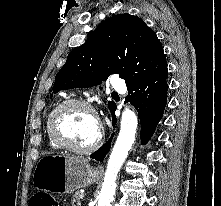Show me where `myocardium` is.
<instances>
[{"label": "myocardium", "mask_w": 221, "mask_h": 206, "mask_svg": "<svg viewBox=\"0 0 221 206\" xmlns=\"http://www.w3.org/2000/svg\"><path fill=\"white\" fill-rule=\"evenodd\" d=\"M71 106H80L88 109L92 112V114L95 116L98 122V134L94 142L87 146V147H75L71 143H69L67 140H65L59 133L57 132L56 126H55V120L59 113H61L64 109L71 107ZM48 131L52 138V140L61 148L66 149L70 152L76 153V154H91L94 151L98 149V147L102 143L103 139V130L101 126L100 119L98 117L97 111L95 107L87 100L84 99H68L60 103L58 106H56L52 112L49 115L48 118Z\"/></svg>", "instance_id": "myocardium-1"}]
</instances>
